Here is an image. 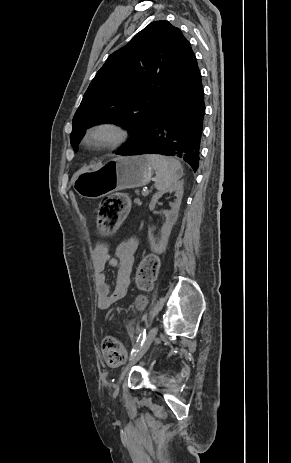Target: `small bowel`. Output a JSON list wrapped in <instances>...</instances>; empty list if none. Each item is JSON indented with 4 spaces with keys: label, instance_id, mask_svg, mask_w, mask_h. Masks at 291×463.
<instances>
[{
    "label": "small bowel",
    "instance_id": "small-bowel-1",
    "mask_svg": "<svg viewBox=\"0 0 291 463\" xmlns=\"http://www.w3.org/2000/svg\"><path fill=\"white\" fill-rule=\"evenodd\" d=\"M138 242L134 238L121 242L112 255L105 244H97L92 251L93 285L97 296V308L108 309L129 292L130 274L134 264ZM110 265L117 271L114 286L107 280L106 268Z\"/></svg>",
    "mask_w": 291,
    "mask_h": 463
}]
</instances>
